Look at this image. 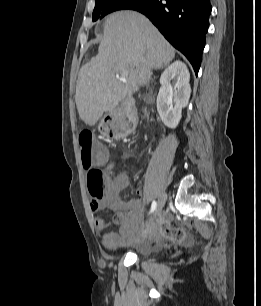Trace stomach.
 Listing matches in <instances>:
<instances>
[{"mask_svg":"<svg viewBox=\"0 0 261 306\" xmlns=\"http://www.w3.org/2000/svg\"><path fill=\"white\" fill-rule=\"evenodd\" d=\"M119 125L115 130V135L118 137H123L132 133L136 126V119L127 113H120L118 116Z\"/></svg>","mask_w":261,"mask_h":306,"instance_id":"1","label":"stomach"}]
</instances>
